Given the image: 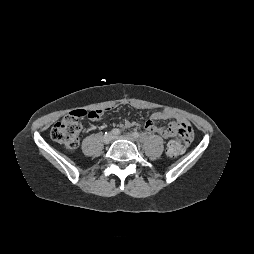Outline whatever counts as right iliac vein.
Listing matches in <instances>:
<instances>
[{
  "label": "right iliac vein",
  "mask_w": 254,
  "mask_h": 254,
  "mask_svg": "<svg viewBox=\"0 0 254 254\" xmlns=\"http://www.w3.org/2000/svg\"><path fill=\"white\" fill-rule=\"evenodd\" d=\"M113 139H114V136L112 135V133H107L103 137V142L105 144H109V143H111L113 141Z\"/></svg>",
  "instance_id": "right-iliac-vein-1"
}]
</instances>
